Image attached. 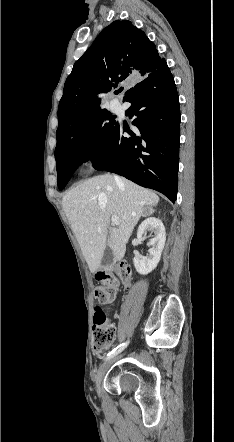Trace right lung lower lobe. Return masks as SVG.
I'll use <instances>...</instances> for the list:
<instances>
[{"label":"right lung lower lobe","mask_w":234,"mask_h":442,"mask_svg":"<svg viewBox=\"0 0 234 442\" xmlns=\"http://www.w3.org/2000/svg\"><path fill=\"white\" fill-rule=\"evenodd\" d=\"M131 106L133 131L119 122L106 145L92 159L94 168L126 177L157 190L172 202L177 197L180 110L176 85L166 62L135 85L124 99ZM127 132L130 137H124Z\"/></svg>","instance_id":"obj_1"}]
</instances>
